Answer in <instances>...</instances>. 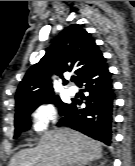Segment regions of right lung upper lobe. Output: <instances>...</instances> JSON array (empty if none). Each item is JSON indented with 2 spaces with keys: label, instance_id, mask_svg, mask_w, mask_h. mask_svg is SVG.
Instances as JSON below:
<instances>
[{
  "label": "right lung upper lobe",
  "instance_id": "cb5924a9",
  "mask_svg": "<svg viewBox=\"0 0 135 166\" xmlns=\"http://www.w3.org/2000/svg\"><path fill=\"white\" fill-rule=\"evenodd\" d=\"M104 59L91 34L78 24L66 27L20 82L15 97L16 110L54 96L51 73L62 77L64 72L73 70L79 80Z\"/></svg>",
  "mask_w": 135,
  "mask_h": 166
}]
</instances>
